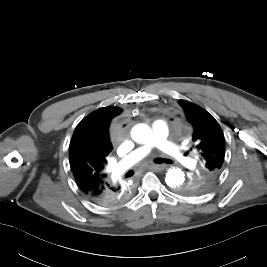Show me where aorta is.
Masks as SVG:
<instances>
[{
	"label": "aorta",
	"mask_w": 267,
	"mask_h": 267,
	"mask_svg": "<svg viewBox=\"0 0 267 267\" xmlns=\"http://www.w3.org/2000/svg\"><path fill=\"white\" fill-rule=\"evenodd\" d=\"M132 137L138 143L146 144L152 139V131L146 124H137L132 128ZM185 181V174L179 168L167 170L165 182L171 188H180Z\"/></svg>",
	"instance_id": "obj_1"
}]
</instances>
